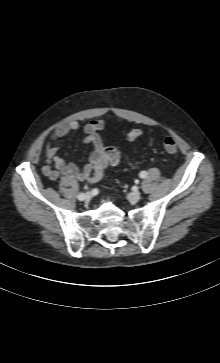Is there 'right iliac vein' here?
<instances>
[{"instance_id": "1", "label": "right iliac vein", "mask_w": 220, "mask_h": 363, "mask_svg": "<svg viewBox=\"0 0 220 363\" xmlns=\"http://www.w3.org/2000/svg\"><path fill=\"white\" fill-rule=\"evenodd\" d=\"M90 199H91V194L90 193L85 194V197L83 200H90Z\"/></svg>"}]
</instances>
